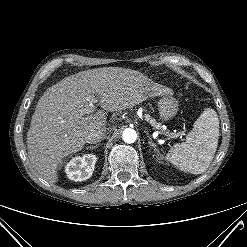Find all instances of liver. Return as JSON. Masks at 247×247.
Instances as JSON below:
<instances>
[{"instance_id": "liver-1", "label": "liver", "mask_w": 247, "mask_h": 247, "mask_svg": "<svg viewBox=\"0 0 247 247\" xmlns=\"http://www.w3.org/2000/svg\"><path fill=\"white\" fill-rule=\"evenodd\" d=\"M173 94L131 69L107 67L79 72L49 87L39 99L27 132L28 156L37 173L53 184L62 158L80 151L86 137L107 125L106 113L88 112L99 103L107 112L122 111L148 98Z\"/></svg>"}]
</instances>
